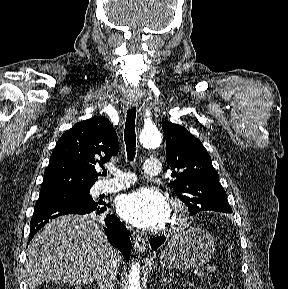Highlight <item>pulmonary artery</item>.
I'll return each instance as SVG.
<instances>
[{"label":"pulmonary artery","instance_id":"e3ab8cb5","mask_svg":"<svg viewBox=\"0 0 288 289\" xmlns=\"http://www.w3.org/2000/svg\"><path fill=\"white\" fill-rule=\"evenodd\" d=\"M161 163L157 158H148L144 163V172L149 176H158L160 174ZM135 181L133 174H117L109 181H103L97 185L96 193H112L130 186Z\"/></svg>","mask_w":288,"mask_h":289}]
</instances>
